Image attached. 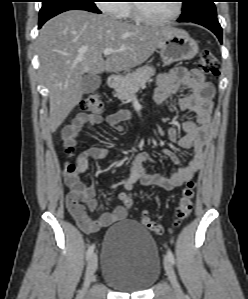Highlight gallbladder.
<instances>
[{
    "mask_svg": "<svg viewBox=\"0 0 248 299\" xmlns=\"http://www.w3.org/2000/svg\"><path fill=\"white\" fill-rule=\"evenodd\" d=\"M101 85V77L99 75H84L81 81V88L84 94H88L97 90Z\"/></svg>",
    "mask_w": 248,
    "mask_h": 299,
    "instance_id": "bac80fb5",
    "label": "gallbladder"
}]
</instances>
